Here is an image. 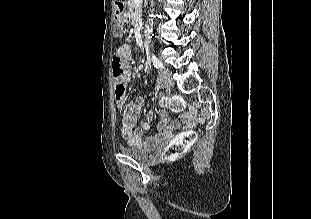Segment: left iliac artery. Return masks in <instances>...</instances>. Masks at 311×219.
Segmentation results:
<instances>
[{"label": "left iliac artery", "instance_id": "44dca946", "mask_svg": "<svg viewBox=\"0 0 311 219\" xmlns=\"http://www.w3.org/2000/svg\"><path fill=\"white\" fill-rule=\"evenodd\" d=\"M151 60L153 62V65L156 67V68H163V64L161 63V61L155 56V55H152L151 57Z\"/></svg>", "mask_w": 311, "mask_h": 219}]
</instances>
